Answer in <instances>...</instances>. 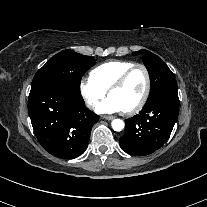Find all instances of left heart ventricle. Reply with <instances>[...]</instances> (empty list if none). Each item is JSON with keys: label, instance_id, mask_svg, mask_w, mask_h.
I'll list each match as a JSON object with an SVG mask.
<instances>
[{"label": "left heart ventricle", "instance_id": "left-heart-ventricle-1", "mask_svg": "<svg viewBox=\"0 0 207 207\" xmlns=\"http://www.w3.org/2000/svg\"><path fill=\"white\" fill-rule=\"evenodd\" d=\"M145 86L146 78L143 71L136 69L122 87L113 90L109 95L120 104L123 110H127L138 103L143 96Z\"/></svg>", "mask_w": 207, "mask_h": 207}]
</instances>
